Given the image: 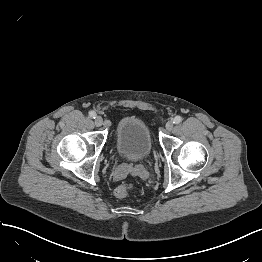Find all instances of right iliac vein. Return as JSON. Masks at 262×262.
Returning <instances> with one entry per match:
<instances>
[{
    "label": "right iliac vein",
    "mask_w": 262,
    "mask_h": 262,
    "mask_svg": "<svg viewBox=\"0 0 262 262\" xmlns=\"http://www.w3.org/2000/svg\"><path fill=\"white\" fill-rule=\"evenodd\" d=\"M94 121H95L96 126H101L103 124V119L101 116H96Z\"/></svg>",
    "instance_id": "obj_1"
}]
</instances>
